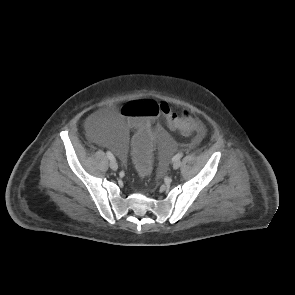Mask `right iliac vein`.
Instances as JSON below:
<instances>
[{"instance_id": "obj_1", "label": "right iliac vein", "mask_w": 295, "mask_h": 295, "mask_svg": "<svg viewBox=\"0 0 295 295\" xmlns=\"http://www.w3.org/2000/svg\"><path fill=\"white\" fill-rule=\"evenodd\" d=\"M109 165H110V168L112 170H117L118 169V164H117V162L115 160H111Z\"/></svg>"}]
</instances>
